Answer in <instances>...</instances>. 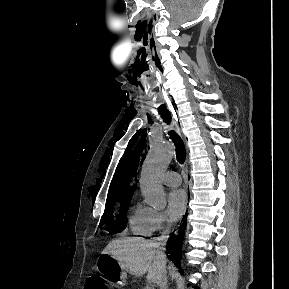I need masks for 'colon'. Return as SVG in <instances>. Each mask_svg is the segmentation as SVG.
Wrapping results in <instances>:
<instances>
[{
  "label": "colon",
  "instance_id": "1",
  "mask_svg": "<svg viewBox=\"0 0 289 289\" xmlns=\"http://www.w3.org/2000/svg\"><path fill=\"white\" fill-rule=\"evenodd\" d=\"M85 289H108V285L101 277H91L88 279Z\"/></svg>",
  "mask_w": 289,
  "mask_h": 289
}]
</instances>
